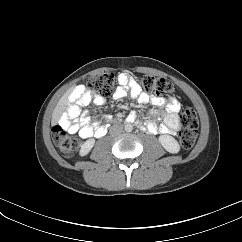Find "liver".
Instances as JSON below:
<instances>
[{
  "mask_svg": "<svg viewBox=\"0 0 242 242\" xmlns=\"http://www.w3.org/2000/svg\"><path fill=\"white\" fill-rule=\"evenodd\" d=\"M62 113V109L60 107V104L56 107L55 111H54V114H53V117H52V124H56L60 115Z\"/></svg>",
  "mask_w": 242,
  "mask_h": 242,
  "instance_id": "6515ba94",
  "label": "liver"
}]
</instances>
